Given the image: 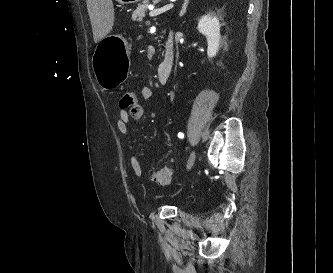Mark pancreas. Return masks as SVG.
I'll list each match as a JSON object with an SVG mask.
<instances>
[{"label": "pancreas", "instance_id": "cf45deb5", "mask_svg": "<svg viewBox=\"0 0 333 273\" xmlns=\"http://www.w3.org/2000/svg\"><path fill=\"white\" fill-rule=\"evenodd\" d=\"M158 0H153V2H157ZM149 0H144L142 4H139L136 10H134L132 14V19L135 21H142L143 17L145 16V13L148 9Z\"/></svg>", "mask_w": 333, "mask_h": 273}]
</instances>
